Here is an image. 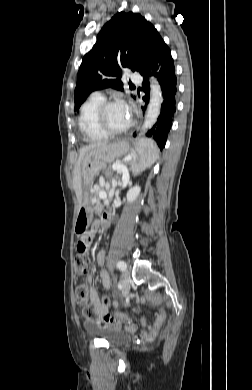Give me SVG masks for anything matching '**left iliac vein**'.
<instances>
[{"label":"left iliac vein","mask_w":252,"mask_h":390,"mask_svg":"<svg viewBox=\"0 0 252 390\" xmlns=\"http://www.w3.org/2000/svg\"><path fill=\"white\" fill-rule=\"evenodd\" d=\"M121 285L122 295L125 297L129 293L131 285V280L126 272L122 275Z\"/></svg>","instance_id":"1"}]
</instances>
